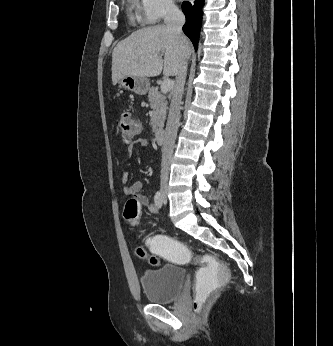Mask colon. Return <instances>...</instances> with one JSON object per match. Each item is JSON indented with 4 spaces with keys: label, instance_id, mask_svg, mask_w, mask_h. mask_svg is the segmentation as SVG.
Segmentation results:
<instances>
[{
    "label": "colon",
    "instance_id": "obj_1",
    "mask_svg": "<svg viewBox=\"0 0 333 346\" xmlns=\"http://www.w3.org/2000/svg\"><path fill=\"white\" fill-rule=\"evenodd\" d=\"M121 138L125 143L131 142L138 134L140 125L136 117L129 112H123L119 118ZM140 210L139 202L136 199H129L124 208V219L130 226L139 223ZM149 240L144 241V246H137L136 254L139 258L147 260L151 265L157 266L159 260L156 256H162L163 260H168L169 264H177L179 268L185 267V260H188L189 250L182 243V240H175V235L169 233H153L149 235ZM149 251V254L147 251ZM192 262L195 260L192 259ZM194 266L196 275L195 309L207 310L208 299L215 293V288H224L230 276V269H227L223 257H198ZM210 263V264H208Z\"/></svg>",
    "mask_w": 333,
    "mask_h": 346
}]
</instances>
